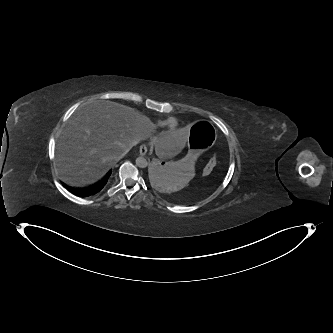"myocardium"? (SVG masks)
Instances as JSON below:
<instances>
[{
	"instance_id": "f54148a6",
	"label": "myocardium",
	"mask_w": 333,
	"mask_h": 333,
	"mask_svg": "<svg viewBox=\"0 0 333 333\" xmlns=\"http://www.w3.org/2000/svg\"><path fill=\"white\" fill-rule=\"evenodd\" d=\"M165 128H166L168 133H173L176 130L177 127L173 125L172 119H169Z\"/></svg>"
}]
</instances>
